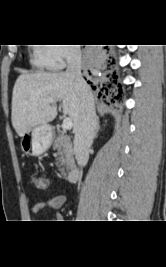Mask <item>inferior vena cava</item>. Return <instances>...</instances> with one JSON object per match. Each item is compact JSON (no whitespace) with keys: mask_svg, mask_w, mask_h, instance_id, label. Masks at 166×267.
I'll list each match as a JSON object with an SVG mask.
<instances>
[{"mask_svg":"<svg viewBox=\"0 0 166 267\" xmlns=\"http://www.w3.org/2000/svg\"><path fill=\"white\" fill-rule=\"evenodd\" d=\"M66 76L82 94L79 124L75 130L74 153L77 163L85 166L89 158V148L96 130L94 99L90 87L81 74V51L79 47L70 48L67 53Z\"/></svg>","mask_w":166,"mask_h":267,"instance_id":"inferior-vena-cava-1","label":"inferior vena cava"}]
</instances>
